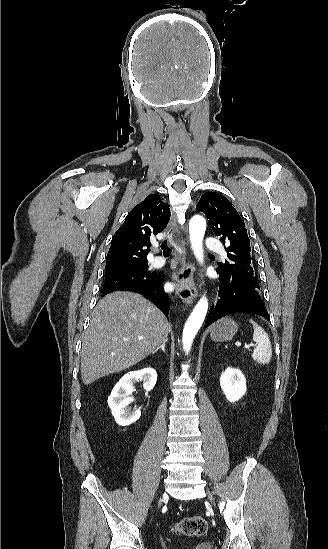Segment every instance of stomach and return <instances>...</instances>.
Here are the masks:
<instances>
[{
	"mask_svg": "<svg viewBox=\"0 0 328 549\" xmlns=\"http://www.w3.org/2000/svg\"><path fill=\"white\" fill-rule=\"evenodd\" d=\"M238 331V325L233 321V319H228V317H223L216 321L211 327V339L216 341V343H223V341H232L234 335Z\"/></svg>",
	"mask_w": 328,
	"mask_h": 549,
	"instance_id": "stomach-1",
	"label": "stomach"
}]
</instances>
